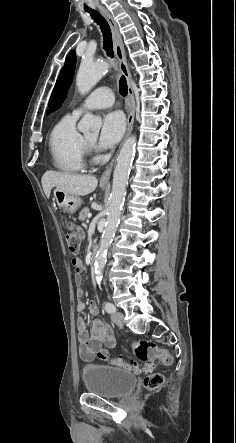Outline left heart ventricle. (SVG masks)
I'll return each mask as SVG.
<instances>
[{
  "label": "left heart ventricle",
  "instance_id": "1",
  "mask_svg": "<svg viewBox=\"0 0 236 443\" xmlns=\"http://www.w3.org/2000/svg\"><path fill=\"white\" fill-rule=\"evenodd\" d=\"M95 137H96V134H91V135H86L85 136V138L87 140L91 141V142L94 141Z\"/></svg>",
  "mask_w": 236,
  "mask_h": 443
}]
</instances>
